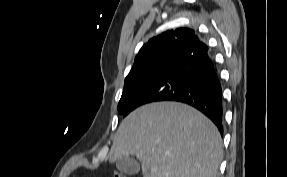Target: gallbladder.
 <instances>
[{
    "label": "gallbladder",
    "instance_id": "1",
    "mask_svg": "<svg viewBox=\"0 0 287 177\" xmlns=\"http://www.w3.org/2000/svg\"><path fill=\"white\" fill-rule=\"evenodd\" d=\"M117 169L128 175L138 174L140 171L139 162L132 156L122 157L116 161Z\"/></svg>",
    "mask_w": 287,
    "mask_h": 177
}]
</instances>
